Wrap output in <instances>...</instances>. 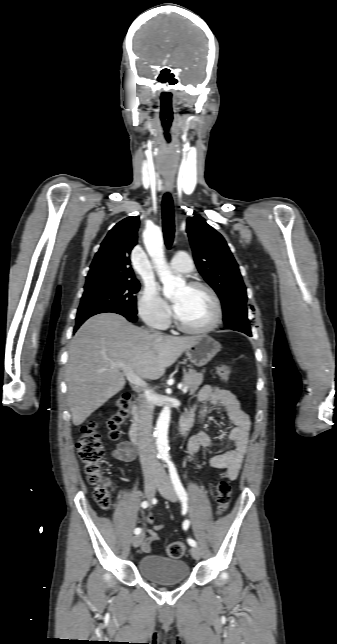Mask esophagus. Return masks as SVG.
Wrapping results in <instances>:
<instances>
[{
    "label": "esophagus",
    "mask_w": 337,
    "mask_h": 644,
    "mask_svg": "<svg viewBox=\"0 0 337 644\" xmlns=\"http://www.w3.org/2000/svg\"><path fill=\"white\" fill-rule=\"evenodd\" d=\"M173 187H174V186H173V183H172V182H170V181L165 182V189H166V191L172 192Z\"/></svg>",
    "instance_id": "34e87169"
}]
</instances>
